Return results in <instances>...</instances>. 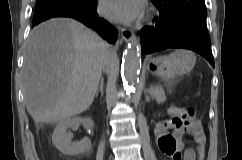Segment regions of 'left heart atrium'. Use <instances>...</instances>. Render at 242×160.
I'll use <instances>...</instances> for the list:
<instances>
[{"instance_id": "39dd6f15", "label": "left heart atrium", "mask_w": 242, "mask_h": 160, "mask_svg": "<svg viewBox=\"0 0 242 160\" xmlns=\"http://www.w3.org/2000/svg\"><path fill=\"white\" fill-rule=\"evenodd\" d=\"M145 8L144 0H102L101 11L110 20L130 23L139 19Z\"/></svg>"}]
</instances>
